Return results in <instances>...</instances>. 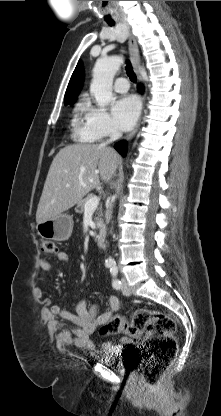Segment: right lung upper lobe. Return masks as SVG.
<instances>
[{
  "label": "right lung upper lobe",
  "instance_id": "obj_1",
  "mask_svg": "<svg viewBox=\"0 0 221 416\" xmlns=\"http://www.w3.org/2000/svg\"><path fill=\"white\" fill-rule=\"evenodd\" d=\"M84 80V70L81 61L78 62L67 87L64 102H74L78 96Z\"/></svg>",
  "mask_w": 221,
  "mask_h": 416
}]
</instances>
